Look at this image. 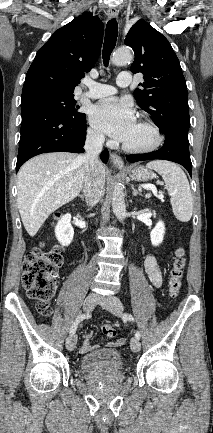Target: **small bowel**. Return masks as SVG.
<instances>
[{"label": "small bowel", "mask_w": 213, "mask_h": 433, "mask_svg": "<svg viewBox=\"0 0 213 433\" xmlns=\"http://www.w3.org/2000/svg\"><path fill=\"white\" fill-rule=\"evenodd\" d=\"M144 268L148 275V278L152 285L156 288H160L163 283V275L161 267L153 255H148L144 260ZM91 334H86L84 338V342L82 344V347L80 349L81 353H87L90 350H92L93 346L90 343ZM123 338H118L112 342H109L107 346L109 347H118L121 346L124 343Z\"/></svg>", "instance_id": "obj_1"}]
</instances>
